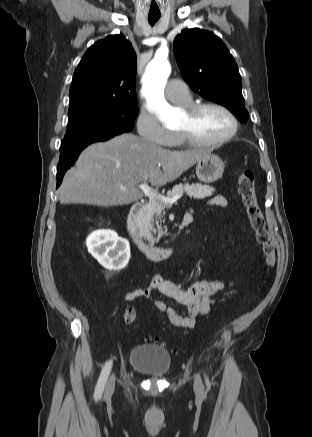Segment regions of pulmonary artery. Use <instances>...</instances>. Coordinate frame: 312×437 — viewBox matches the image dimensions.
<instances>
[{
	"mask_svg": "<svg viewBox=\"0 0 312 437\" xmlns=\"http://www.w3.org/2000/svg\"><path fill=\"white\" fill-rule=\"evenodd\" d=\"M165 95L171 102L179 105L186 106L191 102L188 86L177 79H172L167 83Z\"/></svg>",
	"mask_w": 312,
	"mask_h": 437,
	"instance_id": "pulmonary-artery-1",
	"label": "pulmonary artery"
}]
</instances>
